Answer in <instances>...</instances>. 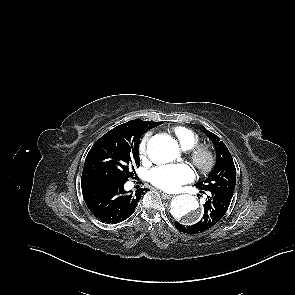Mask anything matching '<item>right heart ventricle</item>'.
Returning a JSON list of instances; mask_svg holds the SVG:
<instances>
[{
  "label": "right heart ventricle",
  "instance_id": "e07e8e85",
  "mask_svg": "<svg viewBox=\"0 0 295 295\" xmlns=\"http://www.w3.org/2000/svg\"><path fill=\"white\" fill-rule=\"evenodd\" d=\"M172 133L176 137L183 150H190L193 147L197 146L200 142L198 134L186 127H174L172 129Z\"/></svg>",
  "mask_w": 295,
  "mask_h": 295
}]
</instances>
